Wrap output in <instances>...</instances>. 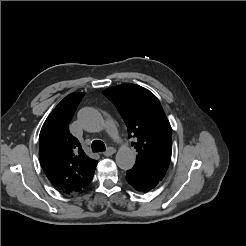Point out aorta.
<instances>
[{
  "label": "aorta",
  "mask_w": 246,
  "mask_h": 246,
  "mask_svg": "<svg viewBox=\"0 0 246 246\" xmlns=\"http://www.w3.org/2000/svg\"><path fill=\"white\" fill-rule=\"evenodd\" d=\"M79 122L82 127L89 132H97L102 129L103 118L101 114L93 108H84L79 112ZM135 154L128 148H120L116 154V163L120 169L129 170L135 164Z\"/></svg>",
  "instance_id": "762f6f07"
}]
</instances>
